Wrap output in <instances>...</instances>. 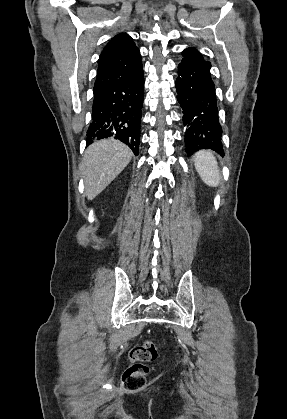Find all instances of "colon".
<instances>
[{
	"label": "colon",
	"mask_w": 287,
	"mask_h": 419,
	"mask_svg": "<svg viewBox=\"0 0 287 419\" xmlns=\"http://www.w3.org/2000/svg\"><path fill=\"white\" fill-rule=\"evenodd\" d=\"M157 354V345L151 341H145L130 351V365L125 370L122 380L125 390L136 391L146 385L149 372L147 363L154 361Z\"/></svg>",
	"instance_id": "5ec220e1"
}]
</instances>
